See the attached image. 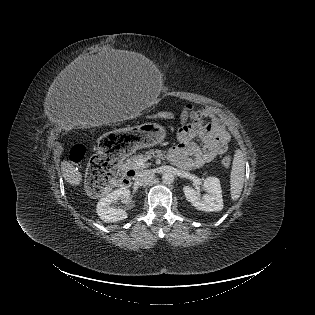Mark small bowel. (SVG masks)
I'll return each instance as SVG.
<instances>
[{
  "label": "small bowel",
  "mask_w": 315,
  "mask_h": 315,
  "mask_svg": "<svg viewBox=\"0 0 315 315\" xmlns=\"http://www.w3.org/2000/svg\"><path fill=\"white\" fill-rule=\"evenodd\" d=\"M197 139L202 145L196 143ZM229 139L215 110L187 107L181 114L177 144L169 150L168 156L182 169H196L225 153Z\"/></svg>",
  "instance_id": "small-bowel-1"
}]
</instances>
